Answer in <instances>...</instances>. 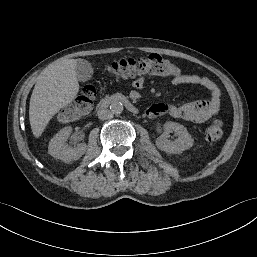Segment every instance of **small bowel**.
<instances>
[{"mask_svg": "<svg viewBox=\"0 0 257 257\" xmlns=\"http://www.w3.org/2000/svg\"><path fill=\"white\" fill-rule=\"evenodd\" d=\"M147 82V73L142 68L122 69L117 74V83L122 88H141ZM173 86L192 85L200 86L207 93L208 98L197 100L181 105L175 104H154L147 109V115L158 117L169 115L175 118L202 123L216 115L220 108V90L209 78L197 74H182L177 72L172 77Z\"/></svg>", "mask_w": 257, "mask_h": 257, "instance_id": "c3829d8e", "label": "small bowel"}]
</instances>
